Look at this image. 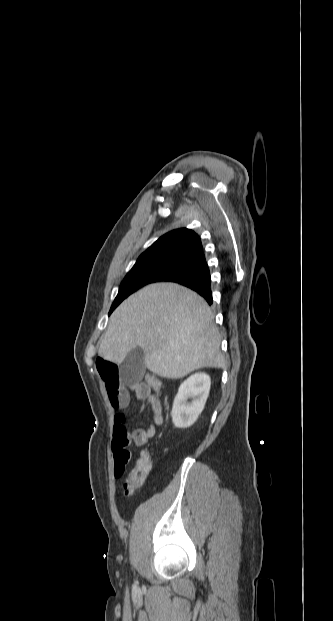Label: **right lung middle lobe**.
I'll return each mask as SVG.
<instances>
[{
    "instance_id": "1",
    "label": "right lung middle lobe",
    "mask_w": 333,
    "mask_h": 621,
    "mask_svg": "<svg viewBox=\"0 0 333 621\" xmlns=\"http://www.w3.org/2000/svg\"><path fill=\"white\" fill-rule=\"evenodd\" d=\"M185 259L163 258L144 262H136L122 281L109 315L130 294L141 287L160 281L164 276L178 269Z\"/></svg>"
}]
</instances>
